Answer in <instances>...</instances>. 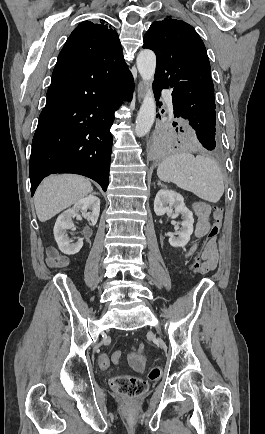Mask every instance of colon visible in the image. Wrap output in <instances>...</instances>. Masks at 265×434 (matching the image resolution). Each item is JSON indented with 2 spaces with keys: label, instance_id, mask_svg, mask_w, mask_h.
Instances as JSON below:
<instances>
[{
  "label": "colon",
  "instance_id": "1",
  "mask_svg": "<svg viewBox=\"0 0 265 434\" xmlns=\"http://www.w3.org/2000/svg\"><path fill=\"white\" fill-rule=\"evenodd\" d=\"M223 220V210L220 207H216L215 211L212 215V227L209 233L206 236L205 242L203 244V249L207 247L206 242L209 239L214 240V238L218 235L220 226ZM48 264L51 267H58L64 264L63 258H61L58 253L54 249H50L48 252ZM200 261H203L202 255H197L195 260L192 262L191 269H194L196 273V269H200ZM121 359L120 353H115L112 357L114 362H118ZM98 364L100 368L107 369L110 365L109 359L105 355H101L98 359ZM148 379L157 380L162 377V369L160 367L154 366L148 370L147 374ZM112 387L121 394L128 396H137L144 394L148 391V382L147 380L135 376V375H127L120 374L111 379Z\"/></svg>",
  "mask_w": 265,
  "mask_h": 434
}]
</instances>
